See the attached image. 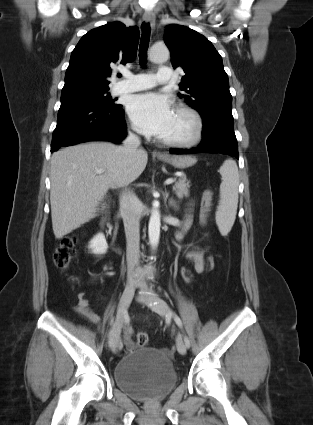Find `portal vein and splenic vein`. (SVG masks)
Instances as JSON below:
<instances>
[{
  "label": "portal vein and splenic vein",
  "mask_w": 313,
  "mask_h": 425,
  "mask_svg": "<svg viewBox=\"0 0 313 425\" xmlns=\"http://www.w3.org/2000/svg\"><path fill=\"white\" fill-rule=\"evenodd\" d=\"M95 172L96 173H103L104 172V170L103 169H96L95 170ZM174 182V179L173 178H169V179H167L166 181H165V184L166 185H169V184H172Z\"/></svg>",
  "instance_id": "1"
}]
</instances>
